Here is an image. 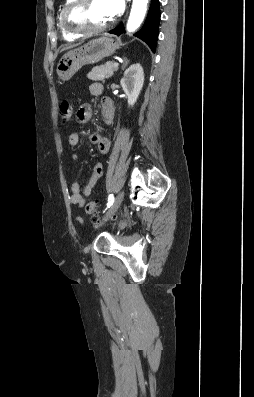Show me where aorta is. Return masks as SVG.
<instances>
[{
	"instance_id": "aorta-1",
	"label": "aorta",
	"mask_w": 254,
	"mask_h": 397,
	"mask_svg": "<svg viewBox=\"0 0 254 397\" xmlns=\"http://www.w3.org/2000/svg\"><path fill=\"white\" fill-rule=\"evenodd\" d=\"M148 0H133L132 9L127 22V31L134 32L142 23L146 11Z\"/></svg>"
}]
</instances>
